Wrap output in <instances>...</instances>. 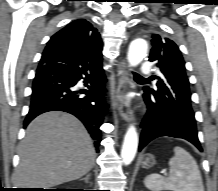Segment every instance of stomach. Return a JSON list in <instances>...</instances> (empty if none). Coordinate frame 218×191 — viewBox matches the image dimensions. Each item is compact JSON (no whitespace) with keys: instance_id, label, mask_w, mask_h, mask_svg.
I'll use <instances>...</instances> for the list:
<instances>
[{"instance_id":"stomach-1","label":"stomach","mask_w":218,"mask_h":191,"mask_svg":"<svg viewBox=\"0 0 218 191\" xmlns=\"http://www.w3.org/2000/svg\"><path fill=\"white\" fill-rule=\"evenodd\" d=\"M141 166L145 169L152 168L156 164L154 155L146 154L140 160Z\"/></svg>"}]
</instances>
